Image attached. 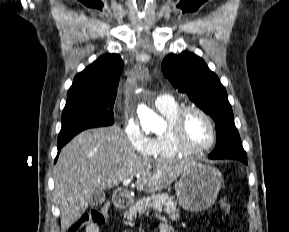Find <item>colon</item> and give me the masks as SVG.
<instances>
[{
  "label": "colon",
  "mask_w": 289,
  "mask_h": 232,
  "mask_svg": "<svg viewBox=\"0 0 289 232\" xmlns=\"http://www.w3.org/2000/svg\"><path fill=\"white\" fill-rule=\"evenodd\" d=\"M221 208L225 213L231 216V205L225 198L220 201ZM107 220V209H92L84 212L80 217L69 227L68 232H79L84 226L95 224L98 226L104 225Z\"/></svg>",
  "instance_id": "1"
}]
</instances>
